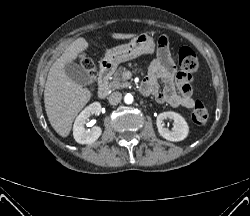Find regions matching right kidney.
<instances>
[{
    "label": "right kidney",
    "instance_id": "ca27d5eb",
    "mask_svg": "<svg viewBox=\"0 0 250 216\" xmlns=\"http://www.w3.org/2000/svg\"><path fill=\"white\" fill-rule=\"evenodd\" d=\"M101 111V104L94 102L87 106L76 118L73 126V136L77 143L91 144L95 142L102 134V129L94 126L91 129H85L86 121L93 114L99 115Z\"/></svg>",
    "mask_w": 250,
    "mask_h": 216
}]
</instances>
